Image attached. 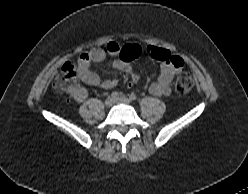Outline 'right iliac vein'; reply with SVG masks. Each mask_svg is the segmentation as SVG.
<instances>
[{
  "label": "right iliac vein",
  "instance_id": "obj_1",
  "mask_svg": "<svg viewBox=\"0 0 248 194\" xmlns=\"http://www.w3.org/2000/svg\"><path fill=\"white\" fill-rule=\"evenodd\" d=\"M113 104H114V100L112 99V98H107L106 100H105V106L106 107H108V108H110V107H112L113 106Z\"/></svg>",
  "mask_w": 248,
  "mask_h": 194
}]
</instances>
